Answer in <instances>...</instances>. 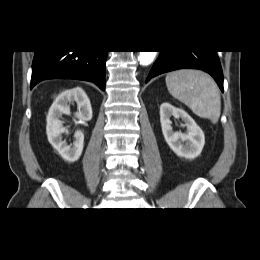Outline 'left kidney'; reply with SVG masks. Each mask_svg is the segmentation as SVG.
I'll use <instances>...</instances> for the list:
<instances>
[{"instance_id":"1","label":"left kidney","mask_w":260,"mask_h":260,"mask_svg":"<svg viewBox=\"0 0 260 260\" xmlns=\"http://www.w3.org/2000/svg\"><path fill=\"white\" fill-rule=\"evenodd\" d=\"M171 116L184 122L185 133L173 131ZM160 122L165 141L177 156L195 159L201 154L205 144L204 133L184 110L164 102L160 106Z\"/></svg>"}]
</instances>
